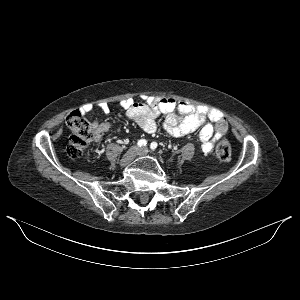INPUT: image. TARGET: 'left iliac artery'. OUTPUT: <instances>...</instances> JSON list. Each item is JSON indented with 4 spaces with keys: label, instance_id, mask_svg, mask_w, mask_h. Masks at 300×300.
<instances>
[{
    "label": "left iliac artery",
    "instance_id": "obj_1",
    "mask_svg": "<svg viewBox=\"0 0 300 300\" xmlns=\"http://www.w3.org/2000/svg\"><path fill=\"white\" fill-rule=\"evenodd\" d=\"M151 150H155L157 148V143L156 142H152L150 145Z\"/></svg>",
    "mask_w": 300,
    "mask_h": 300
}]
</instances>
